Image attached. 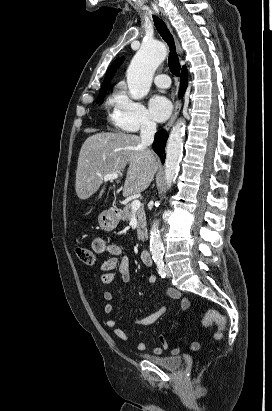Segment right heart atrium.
Here are the masks:
<instances>
[{
  "instance_id": "right-heart-atrium-1",
  "label": "right heart atrium",
  "mask_w": 272,
  "mask_h": 411,
  "mask_svg": "<svg viewBox=\"0 0 272 411\" xmlns=\"http://www.w3.org/2000/svg\"><path fill=\"white\" fill-rule=\"evenodd\" d=\"M109 121L118 130L137 132L152 129L155 122L145 106L133 99L124 86H117L109 99Z\"/></svg>"
}]
</instances>
